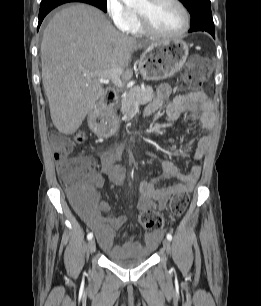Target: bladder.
<instances>
[{
	"mask_svg": "<svg viewBox=\"0 0 261 306\" xmlns=\"http://www.w3.org/2000/svg\"><path fill=\"white\" fill-rule=\"evenodd\" d=\"M150 257L149 252H140L137 254H124L122 256H111L108 255V260L121 268L130 269L140 264L145 263Z\"/></svg>",
	"mask_w": 261,
	"mask_h": 306,
	"instance_id": "bladder-1",
	"label": "bladder"
}]
</instances>
